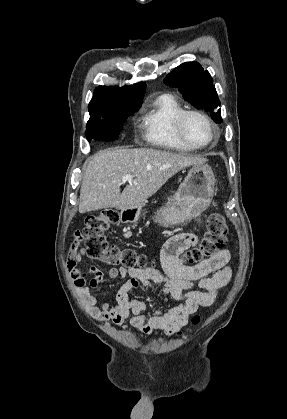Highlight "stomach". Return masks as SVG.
Segmentation results:
<instances>
[{"mask_svg": "<svg viewBox=\"0 0 287 419\" xmlns=\"http://www.w3.org/2000/svg\"><path fill=\"white\" fill-rule=\"evenodd\" d=\"M214 187L212 168L205 163L193 165L174 196L157 212L156 220L164 227H170L198 217L211 204ZM144 211V205L122 209L119 220L136 224Z\"/></svg>", "mask_w": 287, "mask_h": 419, "instance_id": "0dacf381", "label": "stomach"}]
</instances>
